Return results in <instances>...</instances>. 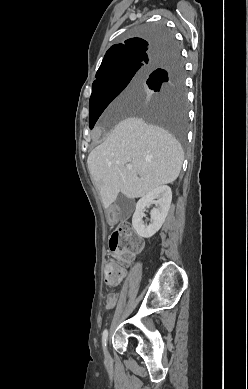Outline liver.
Segmentation results:
<instances>
[{
	"label": "liver",
	"mask_w": 248,
	"mask_h": 389,
	"mask_svg": "<svg viewBox=\"0 0 248 389\" xmlns=\"http://www.w3.org/2000/svg\"><path fill=\"white\" fill-rule=\"evenodd\" d=\"M133 93L131 85L116 104L133 101ZM183 160L182 147L172 134L147 124L141 118L128 117L91 151L87 164L103 207L108 208L120 192L129 199H135L174 182ZM128 164L132 165L131 170L126 168Z\"/></svg>",
	"instance_id": "1"
}]
</instances>
